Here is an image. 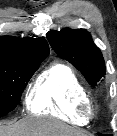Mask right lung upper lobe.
I'll use <instances>...</instances> for the list:
<instances>
[{
	"label": "right lung upper lobe",
	"mask_w": 117,
	"mask_h": 136,
	"mask_svg": "<svg viewBox=\"0 0 117 136\" xmlns=\"http://www.w3.org/2000/svg\"><path fill=\"white\" fill-rule=\"evenodd\" d=\"M48 54L49 46L43 37H0V61L30 62L45 59Z\"/></svg>",
	"instance_id": "1"
}]
</instances>
